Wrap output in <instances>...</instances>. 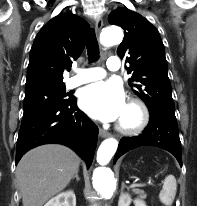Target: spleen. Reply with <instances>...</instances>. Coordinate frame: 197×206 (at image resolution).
<instances>
[{"label": "spleen", "instance_id": "3e777b00", "mask_svg": "<svg viewBox=\"0 0 197 206\" xmlns=\"http://www.w3.org/2000/svg\"><path fill=\"white\" fill-rule=\"evenodd\" d=\"M177 191V182L174 175H168L163 181V187L159 194L161 203L171 206Z\"/></svg>", "mask_w": 197, "mask_h": 206}]
</instances>
